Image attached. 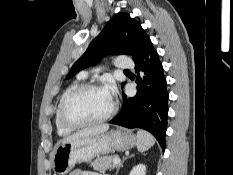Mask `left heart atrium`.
I'll use <instances>...</instances> for the list:
<instances>
[{
	"instance_id": "1",
	"label": "left heart atrium",
	"mask_w": 233,
	"mask_h": 175,
	"mask_svg": "<svg viewBox=\"0 0 233 175\" xmlns=\"http://www.w3.org/2000/svg\"><path fill=\"white\" fill-rule=\"evenodd\" d=\"M105 92L108 94V96L111 98V100H114V97L116 95V87L113 83H108L103 88Z\"/></svg>"
}]
</instances>
